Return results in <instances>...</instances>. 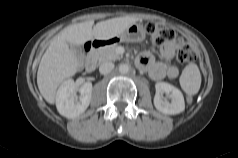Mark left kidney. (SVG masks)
Segmentation results:
<instances>
[{"label": "left kidney", "instance_id": "5707ae66", "mask_svg": "<svg viewBox=\"0 0 238 158\" xmlns=\"http://www.w3.org/2000/svg\"><path fill=\"white\" fill-rule=\"evenodd\" d=\"M155 88L154 106L158 111L168 115H175L184 111V97L178 88L166 82H157ZM163 93L171 99V102L163 100Z\"/></svg>", "mask_w": 238, "mask_h": 158}]
</instances>
